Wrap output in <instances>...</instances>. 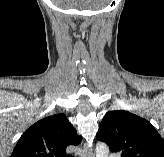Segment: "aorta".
I'll list each match as a JSON object with an SVG mask.
<instances>
[{"label":"aorta","mask_w":164,"mask_h":157,"mask_svg":"<svg viewBox=\"0 0 164 157\" xmlns=\"http://www.w3.org/2000/svg\"><path fill=\"white\" fill-rule=\"evenodd\" d=\"M109 156V147L103 143H97L96 145V157H108Z\"/></svg>","instance_id":"1"}]
</instances>
